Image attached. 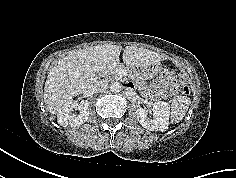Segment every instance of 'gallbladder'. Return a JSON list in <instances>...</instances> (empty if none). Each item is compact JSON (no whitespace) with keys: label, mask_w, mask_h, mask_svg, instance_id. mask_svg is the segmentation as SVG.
Segmentation results:
<instances>
[{"label":"gallbladder","mask_w":236,"mask_h":178,"mask_svg":"<svg viewBox=\"0 0 236 178\" xmlns=\"http://www.w3.org/2000/svg\"><path fill=\"white\" fill-rule=\"evenodd\" d=\"M97 75H101V73H97Z\"/></svg>","instance_id":"1"}]
</instances>
